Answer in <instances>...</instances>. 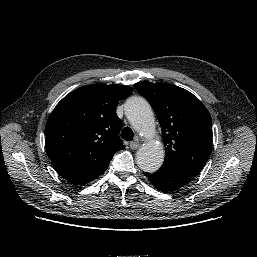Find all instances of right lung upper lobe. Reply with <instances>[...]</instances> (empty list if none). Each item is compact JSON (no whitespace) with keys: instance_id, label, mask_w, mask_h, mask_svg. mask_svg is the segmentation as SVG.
Returning <instances> with one entry per match:
<instances>
[{"instance_id":"1","label":"right lung upper lobe","mask_w":257,"mask_h":257,"mask_svg":"<svg viewBox=\"0 0 257 257\" xmlns=\"http://www.w3.org/2000/svg\"><path fill=\"white\" fill-rule=\"evenodd\" d=\"M132 93L124 85L93 84L66 95L45 127L47 155L60 176L75 185L89 183L124 149L115 109Z\"/></svg>"}]
</instances>
